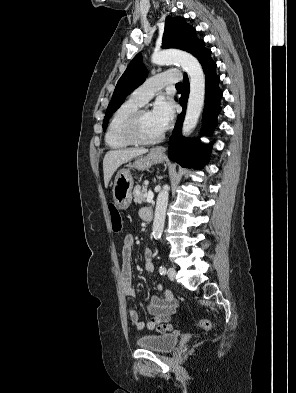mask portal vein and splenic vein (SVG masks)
Segmentation results:
<instances>
[{
  "mask_svg": "<svg viewBox=\"0 0 296 393\" xmlns=\"http://www.w3.org/2000/svg\"><path fill=\"white\" fill-rule=\"evenodd\" d=\"M152 199H153V193L151 191H149L147 194V201H150Z\"/></svg>",
  "mask_w": 296,
  "mask_h": 393,
  "instance_id": "obj_1",
  "label": "portal vein and splenic vein"
}]
</instances>
